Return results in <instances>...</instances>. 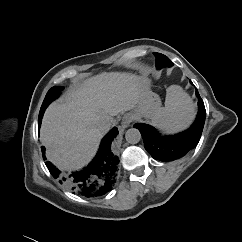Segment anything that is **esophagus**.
Wrapping results in <instances>:
<instances>
[{
	"label": "esophagus",
	"instance_id": "34e87169",
	"mask_svg": "<svg viewBox=\"0 0 242 242\" xmlns=\"http://www.w3.org/2000/svg\"><path fill=\"white\" fill-rule=\"evenodd\" d=\"M129 124H130L129 119H127V118L123 119L122 124H121V128L125 129L129 126Z\"/></svg>",
	"mask_w": 242,
	"mask_h": 242
}]
</instances>
